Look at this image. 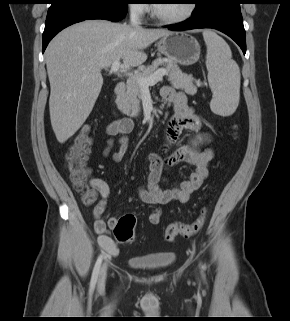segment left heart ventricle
<instances>
[{
	"label": "left heart ventricle",
	"instance_id": "obj_1",
	"mask_svg": "<svg viewBox=\"0 0 290 321\" xmlns=\"http://www.w3.org/2000/svg\"><path fill=\"white\" fill-rule=\"evenodd\" d=\"M187 4L186 0H159L154 5L159 15L163 17H177L186 11Z\"/></svg>",
	"mask_w": 290,
	"mask_h": 321
}]
</instances>
